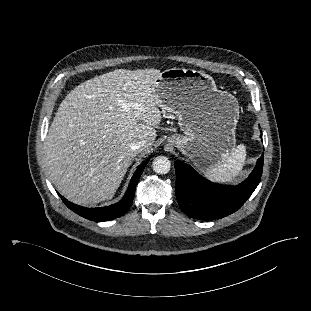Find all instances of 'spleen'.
Wrapping results in <instances>:
<instances>
[{
    "label": "spleen",
    "instance_id": "3e777b00",
    "mask_svg": "<svg viewBox=\"0 0 311 311\" xmlns=\"http://www.w3.org/2000/svg\"><path fill=\"white\" fill-rule=\"evenodd\" d=\"M245 160L246 148L238 145L221 164L207 169L204 175L214 182H233L242 172Z\"/></svg>",
    "mask_w": 311,
    "mask_h": 311
}]
</instances>
